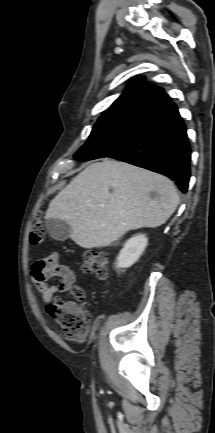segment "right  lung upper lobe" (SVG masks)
Returning <instances> with one entry per match:
<instances>
[{
  "mask_svg": "<svg viewBox=\"0 0 215 433\" xmlns=\"http://www.w3.org/2000/svg\"><path fill=\"white\" fill-rule=\"evenodd\" d=\"M141 77H134L128 89L106 110L99 121L122 117L149 118L172 101L160 87L146 86Z\"/></svg>",
  "mask_w": 215,
  "mask_h": 433,
  "instance_id": "right-lung-upper-lobe-1",
  "label": "right lung upper lobe"
}]
</instances>
